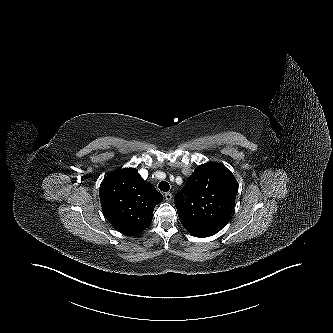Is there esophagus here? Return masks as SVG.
<instances>
[{
	"label": "esophagus",
	"instance_id": "obj_1",
	"mask_svg": "<svg viewBox=\"0 0 333 333\" xmlns=\"http://www.w3.org/2000/svg\"><path fill=\"white\" fill-rule=\"evenodd\" d=\"M165 199H166L167 201H171V199H172V194H171L170 192L165 193Z\"/></svg>",
	"mask_w": 333,
	"mask_h": 333
}]
</instances>
